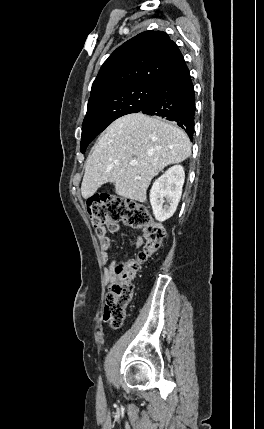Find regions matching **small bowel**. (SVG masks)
I'll return each mask as SVG.
<instances>
[{"instance_id": "1", "label": "small bowel", "mask_w": 264, "mask_h": 429, "mask_svg": "<svg viewBox=\"0 0 264 429\" xmlns=\"http://www.w3.org/2000/svg\"><path fill=\"white\" fill-rule=\"evenodd\" d=\"M119 230V225L117 222L111 221L108 222L106 227H104L103 232L102 233H97L98 236V240L100 243V247L102 250V259L104 262H109V251L111 249L112 246V242L111 239L109 238V236L107 235V233H115ZM144 243V240L141 236H137L135 239V246L136 247H140L142 246ZM110 279L114 281V277L110 276Z\"/></svg>"}]
</instances>
